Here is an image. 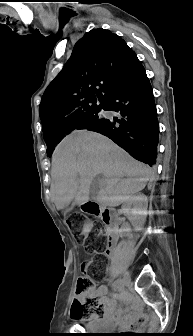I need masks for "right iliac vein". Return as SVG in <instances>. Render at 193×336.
Listing matches in <instances>:
<instances>
[{
    "mask_svg": "<svg viewBox=\"0 0 193 336\" xmlns=\"http://www.w3.org/2000/svg\"><path fill=\"white\" fill-rule=\"evenodd\" d=\"M130 281H131V280H130V275H129V273L127 272V273L124 274V276H123L122 279H121L119 289H123V288L129 286Z\"/></svg>",
    "mask_w": 193,
    "mask_h": 336,
    "instance_id": "right-iliac-vein-1",
    "label": "right iliac vein"
}]
</instances>
